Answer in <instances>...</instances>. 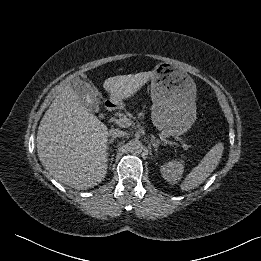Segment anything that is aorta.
<instances>
[{
    "instance_id": "aorta-1",
    "label": "aorta",
    "mask_w": 261,
    "mask_h": 261,
    "mask_svg": "<svg viewBox=\"0 0 261 261\" xmlns=\"http://www.w3.org/2000/svg\"><path fill=\"white\" fill-rule=\"evenodd\" d=\"M128 150L133 155H139L143 150V145L138 140H132L128 143Z\"/></svg>"
}]
</instances>
